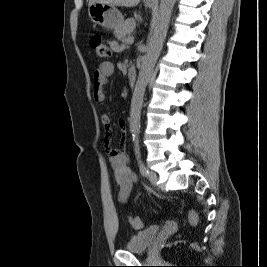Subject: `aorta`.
Returning <instances> with one entry per match:
<instances>
[{
  "label": "aorta",
  "mask_w": 267,
  "mask_h": 267,
  "mask_svg": "<svg viewBox=\"0 0 267 267\" xmlns=\"http://www.w3.org/2000/svg\"><path fill=\"white\" fill-rule=\"evenodd\" d=\"M175 1L176 0L160 1L158 15L153 23V29L148 40L147 53L142 59V65L135 84L130 108V127L134 138H138L144 93L162 50Z\"/></svg>",
  "instance_id": "762f6f07"
}]
</instances>
